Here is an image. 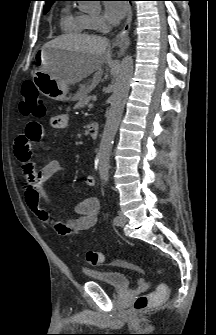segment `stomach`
<instances>
[{
	"label": "stomach",
	"mask_w": 216,
	"mask_h": 335,
	"mask_svg": "<svg viewBox=\"0 0 216 335\" xmlns=\"http://www.w3.org/2000/svg\"><path fill=\"white\" fill-rule=\"evenodd\" d=\"M75 51L44 46L37 55L39 69L35 72L33 81L39 91L56 101H76L79 99L82 90L73 97H67L68 84L57 78L56 75L63 72L76 56Z\"/></svg>",
	"instance_id": "1"
}]
</instances>
